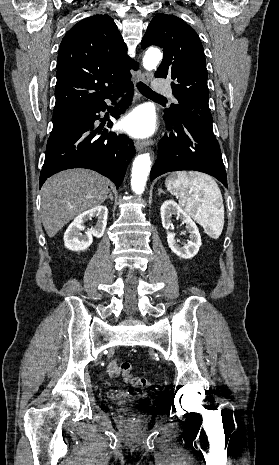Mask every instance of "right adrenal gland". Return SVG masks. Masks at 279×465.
<instances>
[{"label":"right adrenal gland","mask_w":279,"mask_h":465,"mask_svg":"<svg viewBox=\"0 0 279 465\" xmlns=\"http://www.w3.org/2000/svg\"><path fill=\"white\" fill-rule=\"evenodd\" d=\"M107 199L113 200V196H112V192H111V191H109V195H108Z\"/></svg>","instance_id":"1"}]
</instances>
